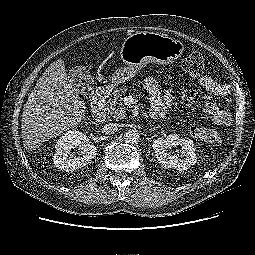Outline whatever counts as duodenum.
<instances>
[{"instance_id":"duodenum-1","label":"duodenum","mask_w":255,"mask_h":255,"mask_svg":"<svg viewBox=\"0 0 255 255\" xmlns=\"http://www.w3.org/2000/svg\"><path fill=\"white\" fill-rule=\"evenodd\" d=\"M109 93L110 88L108 86H100L91 98V115L97 123H104L107 119L104 102Z\"/></svg>"}]
</instances>
